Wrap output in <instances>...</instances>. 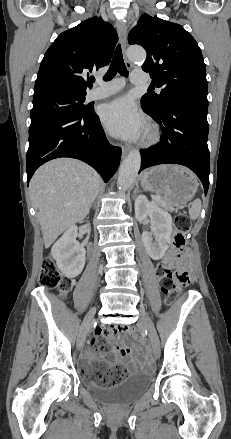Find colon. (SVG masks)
<instances>
[{
  "label": "colon",
  "mask_w": 231,
  "mask_h": 439,
  "mask_svg": "<svg viewBox=\"0 0 231 439\" xmlns=\"http://www.w3.org/2000/svg\"><path fill=\"white\" fill-rule=\"evenodd\" d=\"M191 221L184 213H179L175 217L173 235V245L176 255L173 262H165L158 266L157 275L163 291L173 300L180 286H187L191 283V276L187 269L179 266V263L187 257L185 233L189 230ZM39 283L46 289H58L61 295H65L72 286V281L68 277L61 275L55 263L51 259H46L41 268ZM118 333L134 334V329L130 326H121L115 329ZM97 350H105V345L101 339L92 341ZM127 376L125 368L114 365L107 370L96 368L94 370V380L100 386H112L120 383Z\"/></svg>",
  "instance_id": "colon-1"
}]
</instances>
